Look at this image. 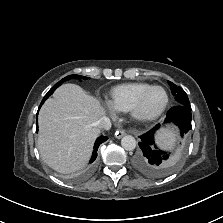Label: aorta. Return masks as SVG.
Instances as JSON below:
<instances>
[{
	"mask_svg": "<svg viewBox=\"0 0 223 223\" xmlns=\"http://www.w3.org/2000/svg\"><path fill=\"white\" fill-rule=\"evenodd\" d=\"M121 146L127 151H132L136 147V140L133 136L126 135L121 139Z\"/></svg>",
	"mask_w": 223,
	"mask_h": 223,
	"instance_id": "1",
	"label": "aorta"
}]
</instances>
